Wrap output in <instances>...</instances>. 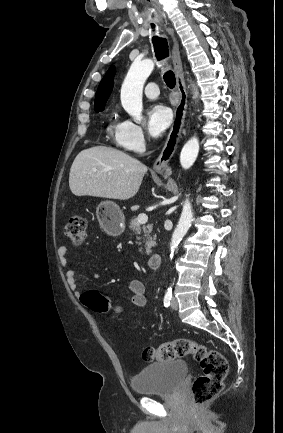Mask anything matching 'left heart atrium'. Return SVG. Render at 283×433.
Segmentation results:
<instances>
[{"label": "left heart atrium", "instance_id": "left-heart-atrium-1", "mask_svg": "<svg viewBox=\"0 0 283 433\" xmlns=\"http://www.w3.org/2000/svg\"><path fill=\"white\" fill-rule=\"evenodd\" d=\"M171 122V112L164 105L151 106L148 112V131L153 137H160Z\"/></svg>", "mask_w": 283, "mask_h": 433}]
</instances>
